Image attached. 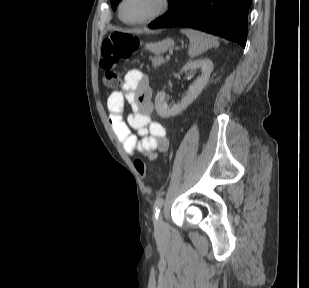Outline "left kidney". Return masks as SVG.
I'll use <instances>...</instances> for the list:
<instances>
[{
    "instance_id": "left-kidney-1",
    "label": "left kidney",
    "mask_w": 309,
    "mask_h": 288,
    "mask_svg": "<svg viewBox=\"0 0 309 288\" xmlns=\"http://www.w3.org/2000/svg\"><path fill=\"white\" fill-rule=\"evenodd\" d=\"M201 69V76L198 77L188 88L187 94L181 102L169 107L165 101V92H158L155 97V108L157 114L162 118L177 115L185 110L201 93L206 86L210 74L213 70V63L210 59H197L188 61L182 68V71Z\"/></svg>"
}]
</instances>
